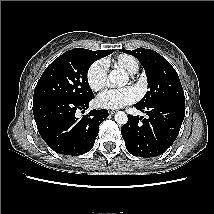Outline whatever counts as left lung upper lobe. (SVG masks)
<instances>
[{"instance_id":"left-lung-upper-lobe-1","label":"left lung upper lobe","mask_w":214,"mask_h":214,"mask_svg":"<svg viewBox=\"0 0 214 214\" xmlns=\"http://www.w3.org/2000/svg\"><path fill=\"white\" fill-rule=\"evenodd\" d=\"M121 51L138 58L146 72L149 91L137 105L145 106L166 99L185 100L178 74L164 57L145 48Z\"/></svg>"}]
</instances>
